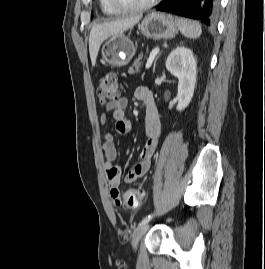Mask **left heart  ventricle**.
<instances>
[{"instance_id": "b2bd125f", "label": "left heart ventricle", "mask_w": 265, "mask_h": 269, "mask_svg": "<svg viewBox=\"0 0 265 269\" xmlns=\"http://www.w3.org/2000/svg\"><path fill=\"white\" fill-rule=\"evenodd\" d=\"M119 1L124 5L134 6V5L143 4L149 0H119Z\"/></svg>"}]
</instances>
